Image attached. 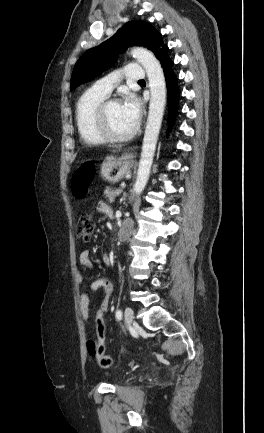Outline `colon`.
Instances as JSON below:
<instances>
[{
  "label": "colon",
  "instance_id": "1",
  "mask_svg": "<svg viewBox=\"0 0 264 433\" xmlns=\"http://www.w3.org/2000/svg\"><path fill=\"white\" fill-rule=\"evenodd\" d=\"M94 168L92 164H85L77 169L72 178V189L74 195L82 199L86 196L88 185L93 179ZM94 230L93 216L90 213H83L76 226L77 236L82 240H88ZM107 309L101 304L95 317V330L98 342L97 361L102 368H109L113 364L112 358L106 354V323L105 313Z\"/></svg>",
  "mask_w": 264,
  "mask_h": 433
}]
</instances>
